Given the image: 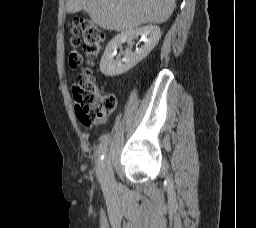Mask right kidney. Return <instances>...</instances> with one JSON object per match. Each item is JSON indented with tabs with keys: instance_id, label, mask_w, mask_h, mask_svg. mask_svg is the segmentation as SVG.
<instances>
[{
	"instance_id": "right-kidney-1",
	"label": "right kidney",
	"mask_w": 256,
	"mask_h": 228,
	"mask_svg": "<svg viewBox=\"0 0 256 228\" xmlns=\"http://www.w3.org/2000/svg\"><path fill=\"white\" fill-rule=\"evenodd\" d=\"M138 36L144 38V44L139 49L132 52V41ZM160 38L161 31L156 25H146L121 32L109 42L105 49L100 61L101 73L105 76L113 77L127 72L151 52V50L158 44ZM125 42L130 46V48L125 51V56L122 59H114L117 48Z\"/></svg>"
}]
</instances>
